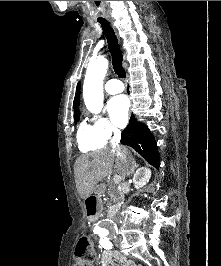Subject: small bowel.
Masks as SVG:
<instances>
[{"mask_svg":"<svg viewBox=\"0 0 221 266\" xmlns=\"http://www.w3.org/2000/svg\"><path fill=\"white\" fill-rule=\"evenodd\" d=\"M99 266H141V265L119 254L112 253L110 251H105L99 257Z\"/></svg>","mask_w":221,"mask_h":266,"instance_id":"small-bowel-1","label":"small bowel"}]
</instances>
